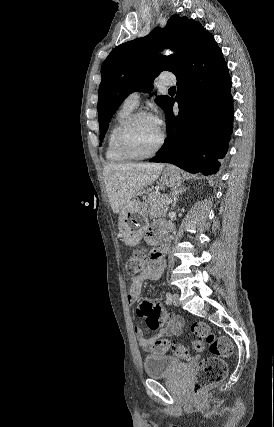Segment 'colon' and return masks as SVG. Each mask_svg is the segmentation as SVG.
Here are the masks:
<instances>
[{"instance_id": "colon-1", "label": "colon", "mask_w": 274, "mask_h": 427, "mask_svg": "<svg viewBox=\"0 0 274 427\" xmlns=\"http://www.w3.org/2000/svg\"><path fill=\"white\" fill-rule=\"evenodd\" d=\"M146 263L145 251H136L130 254L126 261L127 273L131 276L138 275ZM191 332L196 335L195 347H208L211 356L202 359L196 371L195 380L191 382L192 395H206L207 387L221 383L227 376V365L223 358L232 354V345L229 339L212 332L211 328L203 322L193 323ZM158 355L172 351L179 358H188V350L182 345L171 340L162 339L156 342Z\"/></svg>"}]
</instances>
